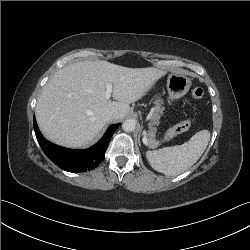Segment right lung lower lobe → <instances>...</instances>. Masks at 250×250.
Listing matches in <instances>:
<instances>
[{"mask_svg": "<svg viewBox=\"0 0 250 250\" xmlns=\"http://www.w3.org/2000/svg\"><path fill=\"white\" fill-rule=\"evenodd\" d=\"M33 125L43 152L53 163L68 172H84L96 168L104 160L110 139L120 124L111 125L104 136L94 146L86 150H73L55 145L43 137L35 117Z\"/></svg>", "mask_w": 250, "mask_h": 250, "instance_id": "98d812e1", "label": "right lung lower lobe"}]
</instances>
